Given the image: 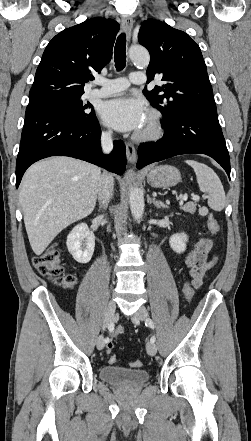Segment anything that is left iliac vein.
I'll return each mask as SVG.
<instances>
[{"label": "left iliac vein", "instance_id": "obj_1", "mask_svg": "<svg viewBox=\"0 0 251 441\" xmlns=\"http://www.w3.org/2000/svg\"><path fill=\"white\" fill-rule=\"evenodd\" d=\"M148 316L149 315L147 309L145 307H140L137 313L132 316V321L135 324H138L140 320L148 319ZM146 350L150 356H154L157 353V346L155 343L148 342L146 344Z\"/></svg>", "mask_w": 251, "mask_h": 441}]
</instances>
